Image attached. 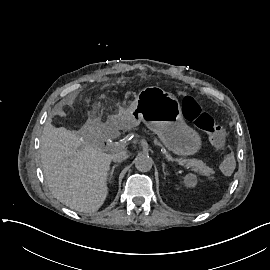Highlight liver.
<instances>
[{
    "label": "liver",
    "mask_w": 270,
    "mask_h": 270,
    "mask_svg": "<svg viewBox=\"0 0 270 270\" xmlns=\"http://www.w3.org/2000/svg\"><path fill=\"white\" fill-rule=\"evenodd\" d=\"M40 143L43 172L52 195L71 209L97 211L108 193L112 155L104 153L97 140H84L64 127H54L51 119Z\"/></svg>",
    "instance_id": "6515ba94"
}]
</instances>
